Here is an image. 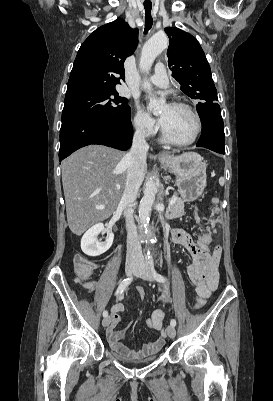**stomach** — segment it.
<instances>
[{"label":"stomach","instance_id":"1","mask_svg":"<svg viewBox=\"0 0 273 401\" xmlns=\"http://www.w3.org/2000/svg\"><path fill=\"white\" fill-rule=\"evenodd\" d=\"M169 154L168 158L158 156L164 168L176 174V184L182 201H196L207 186L206 164L198 152H183V154Z\"/></svg>","mask_w":273,"mask_h":401}]
</instances>
